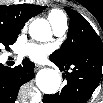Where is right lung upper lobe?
I'll return each instance as SVG.
<instances>
[{"instance_id": "1", "label": "right lung upper lobe", "mask_w": 103, "mask_h": 103, "mask_svg": "<svg viewBox=\"0 0 103 103\" xmlns=\"http://www.w3.org/2000/svg\"><path fill=\"white\" fill-rule=\"evenodd\" d=\"M46 6L33 4L0 5V24L13 30L19 31L31 18L43 11Z\"/></svg>"}]
</instances>
